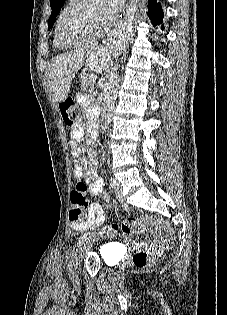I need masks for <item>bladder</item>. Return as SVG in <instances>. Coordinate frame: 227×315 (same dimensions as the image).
<instances>
[{
    "label": "bladder",
    "instance_id": "obj_1",
    "mask_svg": "<svg viewBox=\"0 0 227 315\" xmlns=\"http://www.w3.org/2000/svg\"><path fill=\"white\" fill-rule=\"evenodd\" d=\"M118 256V251L111 244H106L101 249V257L103 261L110 266L117 263Z\"/></svg>",
    "mask_w": 227,
    "mask_h": 315
}]
</instances>
